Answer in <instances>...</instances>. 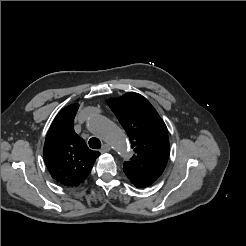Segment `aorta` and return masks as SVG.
Segmentation results:
<instances>
[{"instance_id":"obj_1","label":"aorta","mask_w":246,"mask_h":246,"mask_svg":"<svg viewBox=\"0 0 246 246\" xmlns=\"http://www.w3.org/2000/svg\"><path fill=\"white\" fill-rule=\"evenodd\" d=\"M87 127L108 142L120 156L128 158L131 155L125 134L106 117L99 114L92 115L87 121Z\"/></svg>"}]
</instances>
